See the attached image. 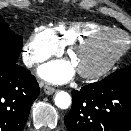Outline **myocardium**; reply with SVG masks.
<instances>
[{
    "label": "myocardium",
    "instance_id": "1",
    "mask_svg": "<svg viewBox=\"0 0 131 131\" xmlns=\"http://www.w3.org/2000/svg\"><path fill=\"white\" fill-rule=\"evenodd\" d=\"M114 35L123 36L126 39L125 45L117 53H115L111 58H109L105 63L98 66L97 68H94L92 70H78V73L82 78L90 79V80L97 79L99 77H102L106 73H108L128 51L131 44L130 38L126 32L120 29L110 28L107 30H102V31H98L93 34H90L69 45L68 53L69 55L72 56L75 52L79 50L91 48L103 38H106L108 36H114Z\"/></svg>",
    "mask_w": 131,
    "mask_h": 131
}]
</instances>
